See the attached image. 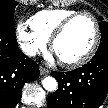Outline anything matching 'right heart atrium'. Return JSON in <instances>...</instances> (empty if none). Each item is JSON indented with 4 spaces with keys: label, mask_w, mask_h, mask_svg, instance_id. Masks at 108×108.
<instances>
[{
    "label": "right heart atrium",
    "mask_w": 108,
    "mask_h": 108,
    "mask_svg": "<svg viewBox=\"0 0 108 108\" xmlns=\"http://www.w3.org/2000/svg\"><path fill=\"white\" fill-rule=\"evenodd\" d=\"M16 35L23 52L31 57L37 55L47 45V40L34 30L29 29L26 22L18 23Z\"/></svg>",
    "instance_id": "obj_1"
}]
</instances>
